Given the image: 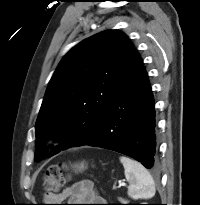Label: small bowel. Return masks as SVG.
<instances>
[{
	"label": "small bowel",
	"instance_id": "1",
	"mask_svg": "<svg viewBox=\"0 0 200 205\" xmlns=\"http://www.w3.org/2000/svg\"><path fill=\"white\" fill-rule=\"evenodd\" d=\"M66 200L73 203H104V199L100 197L90 181H81L67 187L60 193L51 194L45 197L46 205H61ZM72 205H106V204H72Z\"/></svg>",
	"mask_w": 200,
	"mask_h": 205
}]
</instances>
